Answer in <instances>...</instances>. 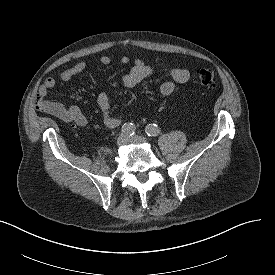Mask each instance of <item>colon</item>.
Segmentation results:
<instances>
[{"instance_id": "1", "label": "colon", "mask_w": 275, "mask_h": 275, "mask_svg": "<svg viewBox=\"0 0 275 275\" xmlns=\"http://www.w3.org/2000/svg\"><path fill=\"white\" fill-rule=\"evenodd\" d=\"M196 77L198 78L201 85L206 88L212 89L216 86V74L212 68H199L196 71ZM41 98L38 99V106L40 109ZM43 110V109H42Z\"/></svg>"}]
</instances>
